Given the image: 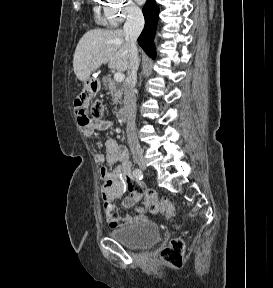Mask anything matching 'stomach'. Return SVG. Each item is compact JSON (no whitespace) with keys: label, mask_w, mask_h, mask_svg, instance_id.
Instances as JSON below:
<instances>
[{"label":"stomach","mask_w":273,"mask_h":288,"mask_svg":"<svg viewBox=\"0 0 273 288\" xmlns=\"http://www.w3.org/2000/svg\"><path fill=\"white\" fill-rule=\"evenodd\" d=\"M86 88L89 92L95 94L100 90V81L97 78H91L88 84H86Z\"/></svg>","instance_id":"0dacf381"}]
</instances>
